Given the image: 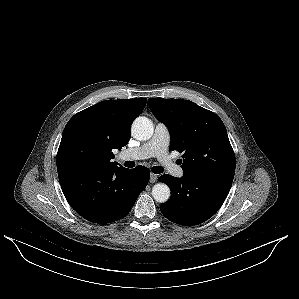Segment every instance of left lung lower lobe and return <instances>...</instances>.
<instances>
[{
	"mask_svg": "<svg viewBox=\"0 0 299 299\" xmlns=\"http://www.w3.org/2000/svg\"><path fill=\"white\" fill-rule=\"evenodd\" d=\"M160 182L171 189L169 201L161 204L162 214L170 221L194 226L212 217L224 203L233 176L211 173L184 174L182 178L162 175Z\"/></svg>",
	"mask_w": 299,
	"mask_h": 299,
	"instance_id": "1",
	"label": "left lung lower lobe"
}]
</instances>
